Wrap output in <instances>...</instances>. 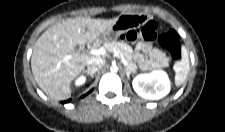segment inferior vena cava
Wrapping results in <instances>:
<instances>
[{
  "label": "inferior vena cava",
  "mask_w": 225,
  "mask_h": 132,
  "mask_svg": "<svg viewBox=\"0 0 225 132\" xmlns=\"http://www.w3.org/2000/svg\"><path fill=\"white\" fill-rule=\"evenodd\" d=\"M105 60L100 57H94L88 60L87 68L90 72H96L103 67Z\"/></svg>",
  "instance_id": "obj_1"
}]
</instances>
